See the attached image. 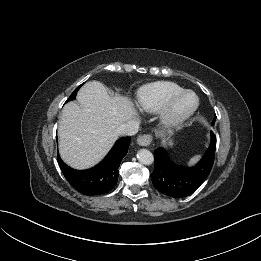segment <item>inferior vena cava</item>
I'll list each match as a JSON object with an SVG mask.
<instances>
[{
	"label": "inferior vena cava",
	"mask_w": 261,
	"mask_h": 261,
	"mask_svg": "<svg viewBox=\"0 0 261 261\" xmlns=\"http://www.w3.org/2000/svg\"><path fill=\"white\" fill-rule=\"evenodd\" d=\"M139 130V122L135 120H129L122 124L119 128L120 135L132 136L135 135Z\"/></svg>",
	"instance_id": "obj_1"
}]
</instances>
